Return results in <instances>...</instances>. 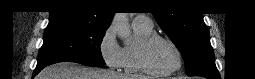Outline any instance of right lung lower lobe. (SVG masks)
Masks as SVG:
<instances>
[{"label":"right lung lower lobe","mask_w":255,"mask_h":79,"mask_svg":"<svg viewBox=\"0 0 255 79\" xmlns=\"http://www.w3.org/2000/svg\"><path fill=\"white\" fill-rule=\"evenodd\" d=\"M44 67H36L35 71H34V74H33V77L38 74Z\"/></svg>","instance_id":"obj_1"}]
</instances>
